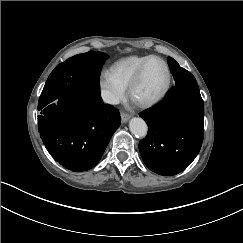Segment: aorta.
<instances>
[{"mask_svg": "<svg viewBox=\"0 0 243 243\" xmlns=\"http://www.w3.org/2000/svg\"><path fill=\"white\" fill-rule=\"evenodd\" d=\"M129 129L137 139H144L148 133V126L141 118L132 119L129 123Z\"/></svg>", "mask_w": 243, "mask_h": 243, "instance_id": "762f6f07", "label": "aorta"}]
</instances>
